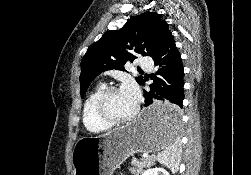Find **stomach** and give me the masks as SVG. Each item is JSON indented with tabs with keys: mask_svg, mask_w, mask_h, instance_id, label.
<instances>
[{
	"mask_svg": "<svg viewBox=\"0 0 251 175\" xmlns=\"http://www.w3.org/2000/svg\"><path fill=\"white\" fill-rule=\"evenodd\" d=\"M178 106L161 105L143 109L130 125L118 127L105 135H84L76 141L72 151L74 175H112L114 169L132 153L153 154L166 147L168 141H177L178 123L181 114H169L178 111Z\"/></svg>",
	"mask_w": 251,
	"mask_h": 175,
	"instance_id": "obj_1",
	"label": "stomach"
}]
</instances>
